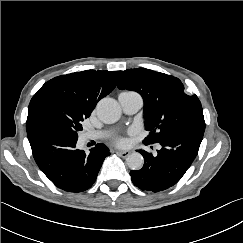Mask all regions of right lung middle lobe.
<instances>
[{
	"mask_svg": "<svg viewBox=\"0 0 243 243\" xmlns=\"http://www.w3.org/2000/svg\"><path fill=\"white\" fill-rule=\"evenodd\" d=\"M87 117L61 96L48 94L31 100L27 120L33 124L53 125L78 138Z\"/></svg>",
	"mask_w": 243,
	"mask_h": 243,
	"instance_id": "dd1d6c3e",
	"label": "right lung middle lobe"
}]
</instances>
